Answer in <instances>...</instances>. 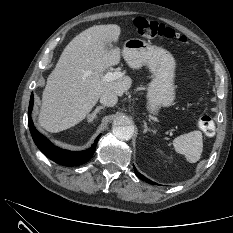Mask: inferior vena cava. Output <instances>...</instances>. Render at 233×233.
<instances>
[{
  "label": "inferior vena cava",
  "instance_id": "602c4592",
  "mask_svg": "<svg viewBox=\"0 0 233 233\" xmlns=\"http://www.w3.org/2000/svg\"><path fill=\"white\" fill-rule=\"evenodd\" d=\"M117 101L118 97L113 92H105L100 97V103L108 107H113L114 105H116Z\"/></svg>",
  "mask_w": 233,
  "mask_h": 233
}]
</instances>
